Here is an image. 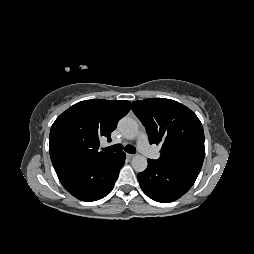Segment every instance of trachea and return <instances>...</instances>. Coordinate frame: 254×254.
Returning <instances> with one entry per match:
<instances>
[{"instance_id":"3493384b","label":"trachea","mask_w":254,"mask_h":254,"mask_svg":"<svg viewBox=\"0 0 254 254\" xmlns=\"http://www.w3.org/2000/svg\"><path fill=\"white\" fill-rule=\"evenodd\" d=\"M122 149L123 148L120 144H115V145L103 148V151H105V152H118V151H121ZM125 151L130 153V154H133V153L136 152V149L131 145H127L125 147Z\"/></svg>"}]
</instances>
